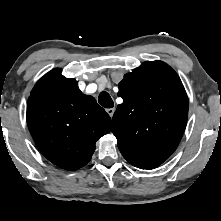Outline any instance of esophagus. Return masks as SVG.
<instances>
[{
    "label": "esophagus",
    "mask_w": 221,
    "mask_h": 221,
    "mask_svg": "<svg viewBox=\"0 0 221 221\" xmlns=\"http://www.w3.org/2000/svg\"><path fill=\"white\" fill-rule=\"evenodd\" d=\"M106 112L109 114L110 117H112L115 112V108H108L106 109Z\"/></svg>",
    "instance_id": "1"
}]
</instances>
